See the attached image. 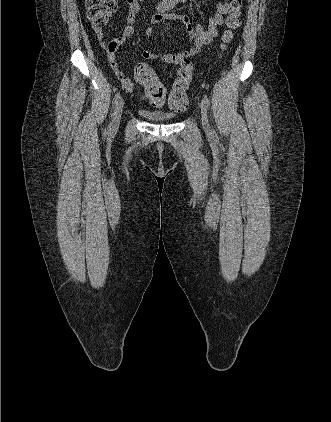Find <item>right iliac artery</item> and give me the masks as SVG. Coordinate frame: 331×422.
I'll use <instances>...</instances> for the list:
<instances>
[{"instance_id": "obj_1", "label": "right iliac artery", "mask_w": 331, "mask_h": 422, "mask_svg": "<svg viewBox=\"0 0 331 422\" xmlns=\"http://www.w3.org/2000/svg\"><path fill=\"white\" fill-rule=\"evenodd\" d=\"M120 99V93L118 92L114 98H113V107L117 104L118 100ZM111 117H113V113L111 114ZM111 129V124L109 125V130Z\"/></svg>"}]
</instances>
